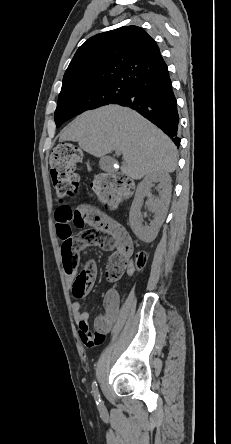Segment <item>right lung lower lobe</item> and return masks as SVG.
Masks as SVG:
<instances>
[{"mask_svg": "<svg viewBox=\"0 0 231 444\" xmlns=\"http://www.w3.org/2000/svg\"><path fill=\"white\" fill-rule=\"evenodd\" d=\"M128 106L162 129L179 146V115L169 72L140 79L131 85L126 97L115 102Z\"/></svg>", "mask_w": 231, "mask_h": 444, "instance_id": "right-lung-lower-lobe-1", "label": "right lung lower lobe"}]
</instances>
